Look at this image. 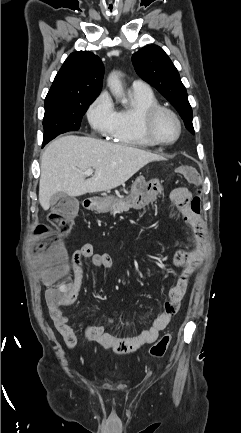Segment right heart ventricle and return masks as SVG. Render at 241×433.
Listing matches in <instances>:
<instances>
[{"label": "right heart ventricle", "mask_w": 241, "mask_h": 433, "mask_svg": "<svg viewBox=\"0 0 241 433\" xmlns=\"http://www.w3.org/2000/svg\"><path fill=\"white\" fill-rule=\"evenodd\" d=\"M129 105L116 111V123L112 132V140L139 148L153 146L144 136L141 128V116L145 109L158 105L153 92L131 90Z\"/></svg>", "instance_id": "right-heart-ventricle-1"}]
</instances>
